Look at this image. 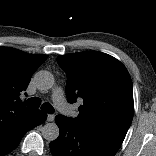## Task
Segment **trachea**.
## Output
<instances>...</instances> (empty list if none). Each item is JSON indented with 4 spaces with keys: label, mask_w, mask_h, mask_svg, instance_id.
I'll list each match as a JSON object with an SVG mask.
<instances>
[{
    "label": "trachea",
    "mask_w": 156,
    "mask_h": 156,
    "mask_svg": "<svg viewBox=\"0 0 156 156\" xmlns=\"http://www.w3.org/2000/svg\"><path fill=\"white\" fill-rule=\"evenodd\" d=\"M24 104L31 108H39L41 104V100L38 97H32V98H29L27 101H25ZM41 108L43 111H45L48 114L54 113V108L50 103H44L41 106Z\"/></svg>",
    "instance_id": "3493384b"
}]
</instances>
